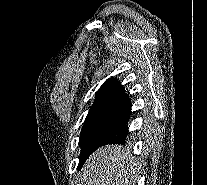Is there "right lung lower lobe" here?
Wrapping results in <instances>:
<instances>
[{"label":"right lung lower lobe","instance_id":"right-lung-lower-lobe-1","mask_svg":"<svg viewBox=\"0 0 207 185\" xmlns=\"http://www.w3.org/2000/svg\"><path fill=\"white\" fill-rule=\"evenodd\" d=\"M131 109L123 115V117L104 135L98 142V147L106 144H122L125 143L128 135L127 123L130 119ZM97 147V148H98Z\"/></svg>","mask_w":207,"mask_h":185}]
</instances>
